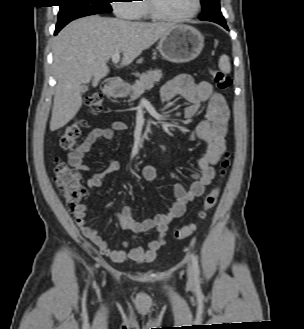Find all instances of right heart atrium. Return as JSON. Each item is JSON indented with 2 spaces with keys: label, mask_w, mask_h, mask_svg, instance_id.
Listing matches in <instances>:
<instances>
[{
  "label": "right heart atrium",
  "mask_w": 304,
  "mask_h": 329,
  "mask_svg": "<svg viewBox=\"0 0 304 329\" xmlns=\"http://www.w3.org/2000/svg\"><path fill=\"white\" fill-rule=\"evenodd\" d=\"M133 0H114L113 9L118 17L124 19H137L138 8L137 5L132 3Z\"/></svg>",
  "instance_id": "obj_1"
}]
</instances>
